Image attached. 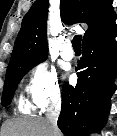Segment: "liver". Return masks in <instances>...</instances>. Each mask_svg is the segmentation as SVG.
<instances>
[{
  "mask_svg": "<svg viewBox=\"0 0 117 136\" xmlns=\"http://www.w3.org/2000/svg\"><path fill=\"white\" fill-rule=\"evenodd\" d=\"M2 136H52L50 124L46 119H12L2 126ZM57 136H61L60 131Z\"/></svg>",
  "mask_w": 117,
  "mask_h": 136,
  "instance_id": "6515ba94",
  "label": "liver"
}]
</instances>
